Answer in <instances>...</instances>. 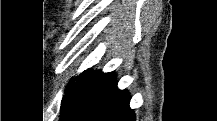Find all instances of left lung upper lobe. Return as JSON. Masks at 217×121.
I'll list each match as a JSON object with an SVG mask.
<instances>
[{
  "instance_id": "5c2ea615",
  "label": "left lung upper lobe",
  "mask_w": 217,
  "mask_h": 121,
  "mask_svg": "<svg viewBox=\"0 0 217 121\" xmlns=\"http://www.w3.org/2000/svg\"><path fill=\"white\" fill-rule=\"evenodd\" d=\"M99 71L87 69L71 79L61 103V120L74 121L86 102V96L92 83L99 76Z\"/></svg>"
}]
</instances>
